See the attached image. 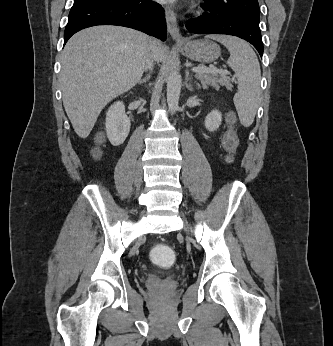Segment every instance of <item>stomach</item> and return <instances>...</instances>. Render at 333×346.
<instances>
[{
	"label": "stomach",
	"mask_w": 333,
	"mask_h": 346,
	"mask_svg": "<svg viewBox=\"0 0 333 346\" xmlns=\"http://www.w3.org/2000/svg\"><path fill=\"white\" fill-rule=\"evenodd\" d=\"M181 52L191 60L201 63L213 62L221 54L219 45L208 39L187 41L181 45Z\"/></svg>",
	"instance_id": "obj_1"
}]
</instances>
